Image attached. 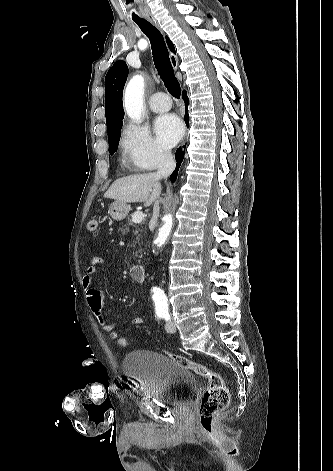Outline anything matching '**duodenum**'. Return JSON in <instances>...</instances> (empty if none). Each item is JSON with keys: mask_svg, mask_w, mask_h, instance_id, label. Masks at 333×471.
<instances>
[{"mask_svg": "<svg viewBox=\"0 0 333 471\" xmlns=\"http://www.w3.org/2000/svg\"><path fill=\"white\" fill-rule=\"evenodd\" d=\"M130 275L131 277L138 282L144 280L145 270L142 265H134L130 268Z\"/></svg>", "mask_w": 333, "mask_h": 471, "instance_id": "duodenum-1", "label": "duodenum"}]
</instances>
